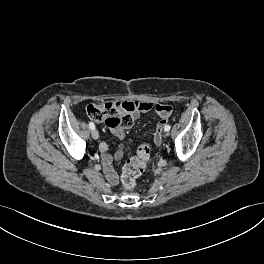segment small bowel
Segmentation results:
<instances>
[{
    "label": "small bowel",
    "mask_w": 264,
    "mask_h": 264,
    "mask_svg": "<svg viewBox=\"0 0 264 264\" xmlns=\"http://www.w3.org/2000/svg\"><path fill=\"white\" fill-rule=\"evenodd\" d=\"M127 105H132L135 107V110L133 111V119H136L139 117L141 113H146L151 110L155 112V114L161 119L166 120L168 122L169 117L172 114V107L170 105H163V104H157L154 105L149 102H124ZM114 134L119 138H124V132L120 129H113ZM159 145V143H156ZM100 152L102 153V162H103V168L106 175L107 180L115 185L118 182V175L116 171L114 170L112 166V162L114 157L107 152L108 145L105 142H102L99 146ZM122 157V151L119 150L116 155L115 159H120Z\"/></svg>",
    "instance_id": "small-bowel-1"
}]
</instances>
